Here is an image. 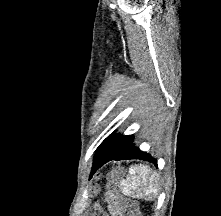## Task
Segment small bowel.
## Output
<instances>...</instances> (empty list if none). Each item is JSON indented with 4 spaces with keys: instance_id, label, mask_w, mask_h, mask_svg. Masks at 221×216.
<instances>
[{
    "instance_id": "c3829d8e",
    "label": "small bowel",
    "mask_w": 221,
    "mask_h": 216,
    "mask_svg": "<svg viewBox=\"0 0 221 216\" xmlns=\"http://www.w3.org/2000/svg\"><path fill=\"white\" fill-rule=\"evenodd\" d=\"M107 203L112 216H122L118 204L111 197H107Z\"/></svg>"
}]
</instances>
